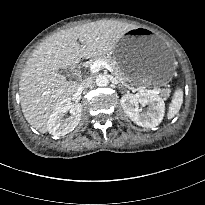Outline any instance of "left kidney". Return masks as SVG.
Masks as SVG:
<instances>
[{"label":"left kidney","mask_w":205,"mask_h":205,"mask_svg":"<svg viewBox=\"0 0 205 205\" xmlns=\"http://www.w3.org/2000/svg\"><path fill=\"white\" fill-rule=\"evenodd\" d=\"M121 106L126 115L138 126L154 128L160 124L164 117L165 104L161 97L151 92L141 91L136 94H125L121 97ZM140 103L148 109L141 112L137 105Z\"/></svg>","instance_id":"5707ae66"}]
</instances>
